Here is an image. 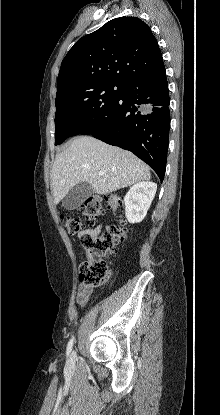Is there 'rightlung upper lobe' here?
I'll return each mask as SVG.
<instances>
[{
    "label": "right lung upper lobe",
    "mask_w": 220,
    "mask_h": 415,
    "mask_svg": "<svg viewBox=\"0 0 220 415\" xmlns=\"http://www.w3.org/2000/svg\"><path fill=\"white\" fill-rule=\"evenodd\" d=\"M164 65L150 27L137 17L110 20L79 39L61 63L57 94L82 83H125Z\"/></svg>",
    "instance_id": "1"
}]
</instances>
